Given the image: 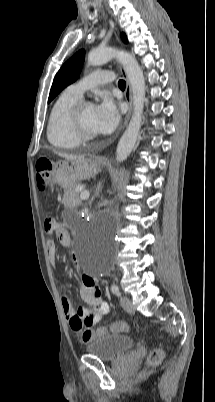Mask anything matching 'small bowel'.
Masks as SVG:
<instances>
[{
    "mask_svg": "<svg viewBox=\"0 0 215 402\" xmlns=\"http://www.w3.org/2000/svg\"><path fill=\"white\" fill-rule=\"evenodd\" d=\"M45 229V228H44ZM45 231L47 233L55 232L59 243L62 246H69L71 239L69 233L63 228L59 227L56 222L52 229ZM47 253L50 261L55 262L57 254V246L54 240L49 239L46 242ZM81 298L89 306V308L79 307L74 309L69 297L65 293H61L60 301L65 314V317L70 327L78 331L84 326H93L97 324L104 315L109 312V305L102 300L101 291L95 280L88 276L83 275L81 278Z\"/></svg>",
    "mask_w": 215,
    "mask_h": 402,
    "instance_id": "small-bowel-1",
    "label": "small bowel"
}]
</instances>
